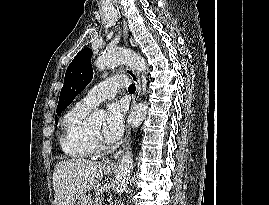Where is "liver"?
Here are the masks:
<instances>
[{"label": "liver", "instance_id": "liver-1", "mask_svg": "<svg viewBox=\"0 0 269 205\" xmlns=\"http://www.w3.org/2000/svg\"><path fill=\"white\" fill-rule=\"evenodd\" d=\"M103 171L102 163L85 159L58 162L52 178L55 205H74L81 195L99 184Z\"/></svg>", "mask_w": 269, "mask_h": 205}]
</instances>
